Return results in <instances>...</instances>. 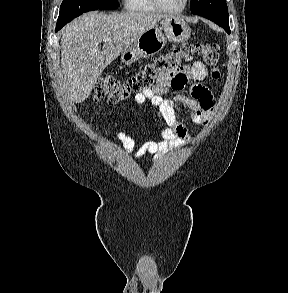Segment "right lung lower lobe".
Here are the masks:
<instances>
[{
	"label": "right lung lower lobe",
	"instance_id": "98d812e1",
	"mask_svg": "<svg viewBox=\"0 0 288 293\" xmlns=\"http://www.w3.org/2000/svg\"><path fill=\"white\" fill-rule=\"evenodd\" d=\"M62 27H56V31L60 30Z\"/></svg>",
	"mask_w": 288,
	"mask_h": 293
}]
</instances>
